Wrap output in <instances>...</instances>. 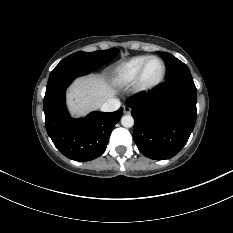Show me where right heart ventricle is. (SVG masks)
<instances>
[{"label": "right heart ventricle", "instance_id": "obj_1", "mask_svg": "<svg viewBox=\"0 0 233 233\" xmlns=\"http://www.w3.org/2000/svg\"><path fill=\"white\" fill-rule=\"evenodd\" d=\"M147 55L132 57L119 63L112 72L113 81L119 86H128L134 83L136 76L143 64L148 58Z\"/></svg>", "mask_w": 233, "mask_h": 233}]
</instances>
